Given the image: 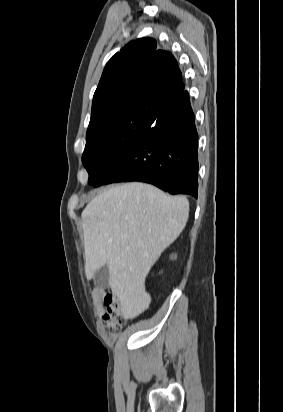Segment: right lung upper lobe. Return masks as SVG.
<instances>
[{
    "label": "right lung upper lobe",
    "mask_w": 283,
    "mask_h": 412,
    "mask_svg": "<svg viewBox=\"0 0 283 412\" xmlns=\"http://www.w3.org/2000/svg\"><path fill=\"white\" fill-rule=\"evenodd\" d=\"M152 38L128 43L106 64L94 93L90 124L133 105L164 106L184 90L171 53Z\"/></svg>",
    "instance_id": "1"
}]
</instances>
